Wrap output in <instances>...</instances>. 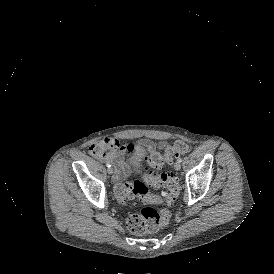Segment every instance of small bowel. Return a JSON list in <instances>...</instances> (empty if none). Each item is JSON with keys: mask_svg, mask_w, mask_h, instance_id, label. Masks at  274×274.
<instances>
[{"mask_svg": "<svg viewBox=\"0 0 274 274\" xmlns=\"http://www.w3.org/2000/svg\"><path fill=\"white\" fill-rule=\"evenodd\" d=\"M161 143L163 142L156 143L149 139H142L138 143H121L114 138H105L93 143L89 147V153L102 162L112 164L115 181H123L133 170L129 158L139 150L143 154H155L154 152L159 150Z\"/></svg>", "mask_w": 274, "mask_h": 274, "instance_id": "small-bowel-1", "label": "small bowel"}]
</instances>
